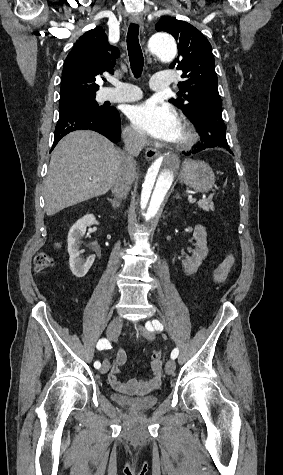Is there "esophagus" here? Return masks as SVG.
Masks as SVG:
<instances>
[{
  "label": "esophagus",
  "instance_id": "1",
  "mask_svg": "<svg viewBox=\"0 0 283 475\" xmlns=\"http://www.w3.org/2000/svg\"><path fill=\"white\" fill-rule=\"evenodd\" d=\"M129 21L131 23H136V24L140 25V27L143 29L144 22H143L142 15L140 13L131 15L129 17ZM158 155H159V150H157L155 148H147V150L145 152V157H146L147 160H153L154 158L158 157ZM167 159H169L170 161H173V162H178L179 161L178 157H176L174 155H168Z\"/></svg>",
  "mask_w": 283,
  "mask_h": 475
}]
</instances>
